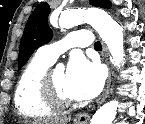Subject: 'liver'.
<instances>
[{
  "instance_id": "liver-1",
  "label": "liver",
  "mask_w": 145,
  "mask_h": 124,
  "mask_svg": "<svg viewBox=\"0 0 145 124\" xmlns=\"http://www.w3.org/2000/svg\"><path fill=\"white\" fill-rule=\"evenodd\" d=\"M68 118H52L33 121L31 124H67Z\"/></svg>"
}]
</instances>
